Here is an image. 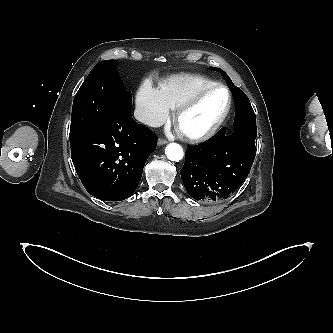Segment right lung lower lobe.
Listing matches in <instances>:
<instances>
[{"label": "right lung lower lobe", "instance_id": "obj_1", "mask_svg": "<svg viewBox=\"0 0 333 333\" xmlns=\"http://www.w3.org/2000/svg\"><path fill=\"white\" fill-rule=\"evenodd\" d=\"M131 104V95L122 96L95 129L70 142L72 161L82 184L101 200L130 197L147 158L156 148V136L133 120Z\"/></svg>", "mask_w": 333, "mask_h": 333}]
</instances>
